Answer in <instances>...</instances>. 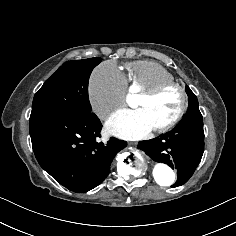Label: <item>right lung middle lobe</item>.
Wrapping results in <instances>:
<instances>
[{
    "instance_id": "dd1d6c3e",
    "label": "right lung middle lobe",
    "mask_w": 236,
    "mask_h": 236,
    "mask_svg": "<svg viewBox=\"0 0 236 236\" xmlns=\"http://www.w3.org/2000/svg\"><path fill=\"white\" fill-rule=\"evenodd\" d=\"M101 58L65 62L35 94L29 121L59 113H90L88 81Z\"/></svg>"
}]
</instances>
